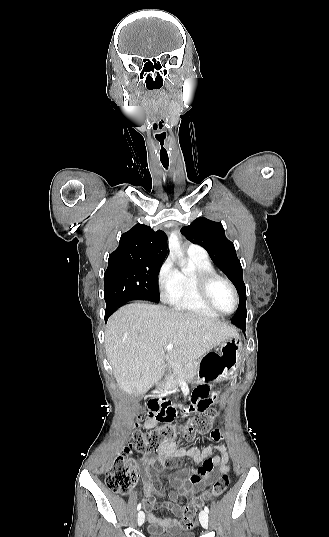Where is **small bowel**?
Masks as SVG:
<instances>
[{
    "instance_id": "c3829d8e",
    "label": "small bowel",
    "mask_w": 329,
    "mask_h": 537,
    "mask_svg": "<svg viewBox=\"0 0 329 537\" xmlns=\"http://www.w3.org/2000/svg\"><path fill=\"white\" fill-rule=\"evenodd\" d=\"M211 384V381H208ZM210 392L214 398L219 396V393L215 391L214 385H209L205 381H198L196 387L192 390L190 398H186L181 404L180 402H174L171 407H161L155 417L157 423H170L173 424L177 420V412L181 409L185 412H191L197 414L198 412H205L209 408V404L212 402L210 398ZM216 402V399H213ZM155 425V422L148 421L145 423L146 428H151ZM210 436L214 440H219L220 434L212 431ZM188 458L195 463H202L199 469H195L189 466L175 465L178 470L168 475V482L174 490L167 493L169 501L164 503V506L172 513V516L158 517L152 511L157 503V496L160 495L153 480L147 473V467L150 464L158 463L162 471H168L172 465L170 461L173 459ZM136 469V464L133 463ZM139 468L144 483L143 488V505L144 509L148 512L147 521L150 524L149 532H163L165 530L178 531L184 529L182 526V520L179 516L182 513V506L185 505L188 498L195 495L197 491L210 484L220 474H225L230 469L228 449L225 444L216 446H206L199 448L193 447H178L174 442L164 443L158 450V454L155 458L145 457L140 461ZM164 495V494H163Z\"/></svg>"
}]
</instances>
